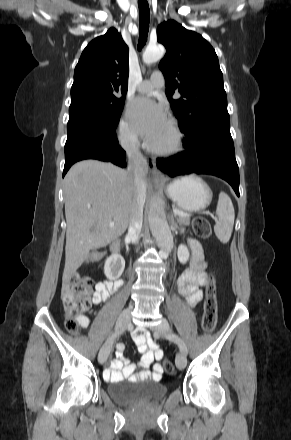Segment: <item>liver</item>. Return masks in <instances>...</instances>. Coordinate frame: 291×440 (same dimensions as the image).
I'll return each mask as SVG.
<instances>
[{"mask_svg":"<svg viewBox=\"0 0 291 440\" xmlns=\"http://www.w3.org/2000/svg\"><path fill=\"white\" fill-rule=\"evenodd\" d=\"M134 192L133 174L111 163L84 160L70 168L64 179L67 230L63 283L70 281L90 250L108 245L126 231Z\"/></svg>","mask_w":291,"mask_h":440,"instance_id":"liver-1","label":"liver"}]
</instances>
